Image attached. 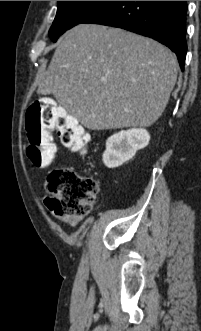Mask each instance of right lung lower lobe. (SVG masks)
<instances>
[{"label": "right lung lower lobe", "mask_w": 201, "mask_h": 331, "mask_svg": "<svg viewBox=\"0 0 201 331\" xmlns=\"http://www.w3.org/2000/svg\"><path fill=\"white\" fill-rule=\"evenodd\" d=\"M187 1H109L83 23L126 29L174 51L184 69Z\"/></svg>", "instance_id": "obj_1"}]
</instances>
